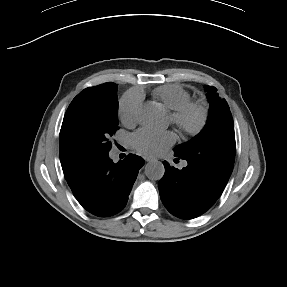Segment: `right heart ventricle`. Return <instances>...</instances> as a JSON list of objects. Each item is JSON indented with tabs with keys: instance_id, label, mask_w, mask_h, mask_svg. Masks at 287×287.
<instances>
[{
	"instance_id": "obj_1",
	"label": "right heart ventricle",
	"mask_w": 287,
	"mask_h": 287,
	"mask_svg": "<svg viewBox=\"0 0 287 287\" xmlns=\"http://www.w3.org/2000/svg\"><path fill=\"white\" fill-rule=\"evenodd\" d=\"M154 97L164 111L172 113L190 101L189 92L178 84H167L154 91Z\"/></svg>"
}]
</instances>
